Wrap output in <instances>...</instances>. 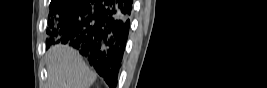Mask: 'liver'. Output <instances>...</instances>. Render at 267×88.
<instances>
[{
	"label": "liver",
	"mask_w": 267,
	"mask_h": 88,
	"mask_svg": "<svg viewBox=\"0 0 267 88\" xmlns=\"http://www.w3.org/2000/svg\"><path fill=\"white\" fill-rule=\"evenodd\" d=\"M48 88H89L96 80L81 55L69 45L52 46L45 55Z\"/></svg>",
	"instance_id": "6515ba94"
}]
</instances>
